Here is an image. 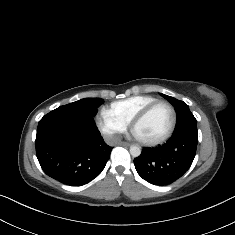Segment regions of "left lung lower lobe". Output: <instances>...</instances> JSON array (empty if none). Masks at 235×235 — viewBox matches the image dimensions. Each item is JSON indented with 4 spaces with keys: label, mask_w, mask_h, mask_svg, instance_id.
Returning <instances> with one entry per match:
<instances>
[{
    "label": "left lung lower lobe",
    "mask_w": 235,
    "mask_h": 235,
    "mask_svg": "<svg viewBox=\"0 0 235 235\" xmlns=\"http://www.w3.org/2000/svg\"><path fill=\"white\" fill-rule=\"evenodd\" d=\"M198 143V134L183 132L162 146L144 148L134 159L136 171L147 182L156 185L170 184L190 168Z\"/></svg>",
    "instance_id": "1"
}]
</instances>
